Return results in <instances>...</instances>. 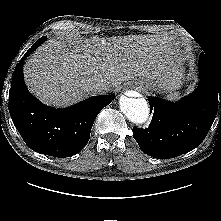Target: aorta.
I'll return each mask as SVG.
<instances>
[{
    "label": "aorta",
    "instance_id": "762f6f07",
    "mask_svg": "<svg viewBox=\"0 0 221 221\" xmlns=\"http://www.w3.org/2000/svg\"><path fill=\"white\" fill-rule=\"evenodd\" d=\"M119 105L125 116L135 124H143L149 117V107L144 98H130L122 95Z\"/></svg>",
    "mask_w": 221,
    "mask_h": 221
}]
</instances>
